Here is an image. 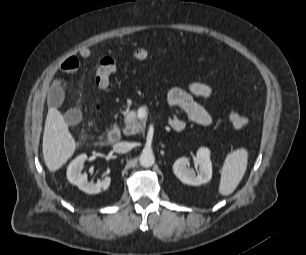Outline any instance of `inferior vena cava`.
<instances>
[{"label": "inferior vena cava", "instance_id": "602c4592", "mask_svg": "<svg viewBox=\"0 0 306 255\" xmlns=\"http://www.w3.org/2000/svg\"><path fill=\"white\" fill-rule=\"evenodd\" d=\"M132 149V144L129 142H118L113 146V150L117 153H126Z\"/></svg>", "mask_w": 306, "mask_h": 255}]
</instances>
